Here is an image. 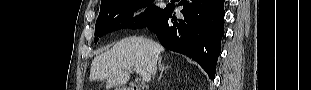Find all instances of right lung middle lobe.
<instances>
[{
    "instance_id": "1",
    "label": "right lung middle lobe",
    "mask_w": 311,
    "mask_h": 90,
    "mask_svg": "<svg viewBox=\"0 0 311 90\" xmlns=\"http://www.w3.org/2000/svg\"><path fill=\"white\" fill-rule=\"evenodd\" d=\"M153 0H107L101 3L100 13L96 21L94 42L98 37L122 28H143L159 20L166 12L167 7L162 9L154 4ZM149 4V5H148ZM147 9L140 17H136L137 22L132 19L133 12L147 6Z\"/></svg>"
}]
</instances>
